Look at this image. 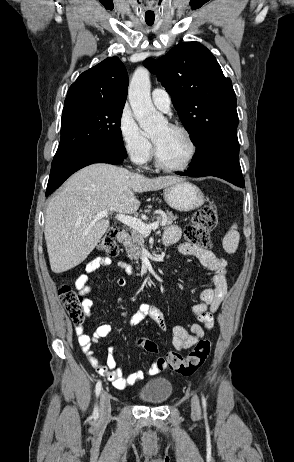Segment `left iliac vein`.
Returning <instances> with one entry per match:
<instances>
[{
  "label": "left iliac vein",
  "mask_w": 294,
  "mask_h": 462,
  "mask_svg": "<svg viewBox=\"0 0 294 462\" xmlns=\"http://www.w3.org/2000/svg\"><path fill=\"white\" fill-rule=\"evenodd\" d=\"M192 411L194 414H199L200 413V406H199V400L196 395L193 396L192 398Z\"/></svg>",
  "instance_id": "1"
}]
</instances>
